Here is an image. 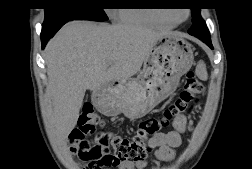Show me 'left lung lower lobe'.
<instances>
[{"label": "left lung lower lobe", "instance_id": "0a47b994", "mask_svg": "<svg viewBox=\"0 0 252 169\" xmlns=\"http://www.w3.org/2000/svg\"><path fill=\"white\" fill-rule=\"evenodd\" d=\"M189 34L199 38L200 40H202L204 43H206L211 49H213L212 43H211V38H210V34L208 30H199L197 32L188 31Z\"/></svg>", "mask_w": 252, "mask_h": 169}]
</instances>
